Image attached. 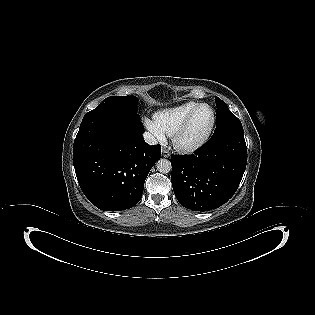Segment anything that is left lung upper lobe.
<instances>
[{
    "label": "left lung upper lobe",
    "mask_w": 315,
    "mask_h": 315,
    "mask_svg": "<svg viewBox=\"0 0 315 315\" xmlns=\"http://www.w3.org/2000/svg\"><path fill=\"white\" fill-rule=\"evenodd\" d=\"M217 112H216V129L212 137L224 133H239L244 134L240 120L230 112L228 106L220 98H215Z\"/></svg>",
    "instance_id": "obj_1"
}]
</instances>
